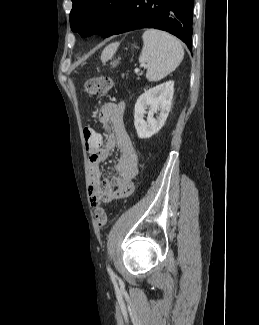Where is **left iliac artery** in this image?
Returning a JSON list of instances; mask_svg holds the SVG:
<instances>
[{
    "label": "left iliac artery",
    "instance_id": "obj_1",
    "mask_svg": "<svg viewBox=\"0 0 259 325\" xmlns=\"http://www.w3.org/2000/svg\"><path fill=\"white\" fill-rule=\"evenodd\" d=\"M107 270H108V272L110 274L111 279L112 280H115L117 276L115 275V273L113 272V270L109 266L107 267Z\"/></svg>",
    "mask_w": 259,
    "mask_h": 325
}]
</instances>
